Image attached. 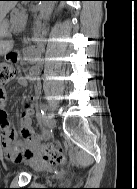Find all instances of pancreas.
I'll return each mask as SVG.
<instances>
[{
    "label": "pancreas",
    "mask_w": 137,
    "mask_h": 189,
    "mask_svg": "<svg viewBox=\"0 0 137 189\" xmlns=\"http://www.w3.org/2000/svg\"><path fill=\"white\" fill-rule=\"evenodd\" d=\"M24 11L21 8H15L11 12V23L14 26H20L25 21Z\"/></svg>",
    "instance_id": "1"
}]
</instances>
